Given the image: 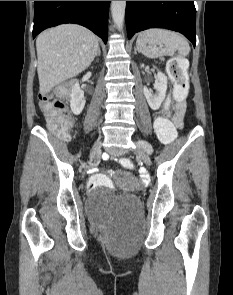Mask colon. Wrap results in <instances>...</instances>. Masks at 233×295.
Instances as JSON below:
<instances>
[{
	"label": "colon",
	"mask_w": 233,
	"mask_h": 295,
	"mask_svg": "<svg viewBox=\"0 0 233 295\" xmlns=\"http://www.w3.org/2000/svg\"><path fill=\"white\" fill-rule=\"evenodd\" d=\"M188 63L184 58L173 57L168 61L167 70L174 84V97L177 102L183 101L189 91L187 76ZM74 82H66L44 94L41 99V107L47 117L48 124L61 141H67L72 133L74 123L64 103V98L72 91ZM155 131L163 144H171L176 138V128L167 117H158L155 120ZM120 164L127 169L133 168V163L128 158H121ZM88 188L112 189L111 180L100 173L92 174L88 179Z\"/></svg>",
	"instance_id": "obj_1"
}]
</instances>
